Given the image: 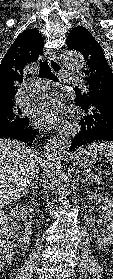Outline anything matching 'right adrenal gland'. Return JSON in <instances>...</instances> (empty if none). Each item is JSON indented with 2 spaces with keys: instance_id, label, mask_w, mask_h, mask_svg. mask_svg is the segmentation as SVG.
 Listing matches in <instances>:
<instances>
[{
  "instance_id": "obj_1",
  "label": "right adrenal gland",
  "mask_w": 113,
  "mask_h": 279,
  "mask_svg": "<svg viewBox=\"0 0 113 279\" xmlns=\"http://www.w3.org/2000/svg\"><path fill=\"white\" fill-rule=\"evenodd\" d=\"M38 172L36 173V176H35V180L32 182L31 186L34 190V188H37L38 187V181H39V176H38Z\"/></svg>"
}]
</instances>
